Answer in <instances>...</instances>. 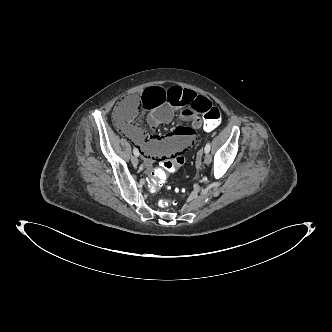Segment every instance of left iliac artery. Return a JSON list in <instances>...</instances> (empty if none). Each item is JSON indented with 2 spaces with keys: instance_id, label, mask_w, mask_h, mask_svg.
<instances>
[{
  "instance_id": "1",
  "label": "left iliac artery",
  "mask_w": 332,
  "mask_h": 332,
  "mask_svg": "<svg viewBox=\"0 0 332 332\" xmlns=\"http://www.w3.org/2000/svg\"><path fill=\"white\" fill-rule=\"evenodd\" d=\"M210 148H211V145H210V143L208 142V143L205 145V148H204L205 153H209Z\"/></svg>"
}]
</instances>
